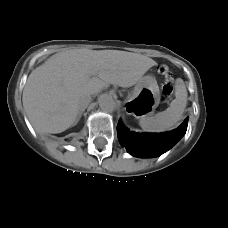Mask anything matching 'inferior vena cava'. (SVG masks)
Segmentation results:
<instances>
[{"instance_id":"1","label":"inferior vena cava","mask_w":228,"mask_h":228,"mask_svg":"<svg viewBox=\"0 0 228 228\" xmlns=\"http://www.w3.org/2000/svg\"><path fill=\"white\" fill-rule=\"evenodd\" d=\"M90 102H91V95L88 93H82L78 96L76 100L77 108L80 111L85 110Z\"/></svg>"}]
</instances>
